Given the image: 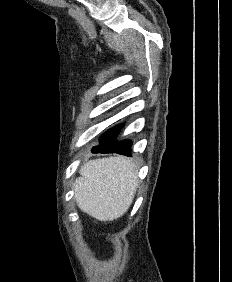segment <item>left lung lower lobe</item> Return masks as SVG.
Returning <instances> with one entry per match:
<instances>
[{
	"label": "left lung lower lobe",
	"instance_id": "0a47b994",
	"mask_svg": "<svg viewBox=\"0 0 232 282\" xmlns=\"http://www.w3.org/2000/svg\"><path fill=\"white\" fill-rule=\"evenodd\" d=\"M123 125H117L100 137V145L93 147V153H117L125 156H131L130 140L117 141L116 135Z\"/></svg>",
	"mask_w": 232,
	"mask_h": 282
}]
</instances>
